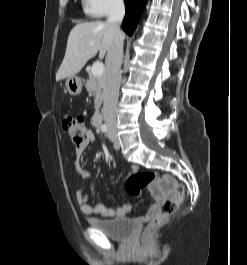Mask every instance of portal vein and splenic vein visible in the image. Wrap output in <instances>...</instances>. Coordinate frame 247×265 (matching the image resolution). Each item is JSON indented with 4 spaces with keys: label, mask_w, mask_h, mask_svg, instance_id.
<instances>
[{
    "label": "portal vein and splenic vein",
    "mask_w": 247,
    "mask_h": 265,
    "mask_svg": "<svg viewBox=\"0 0 247 265\" xmlns=\"http://www.w3.org/2000/svg\"><path fill=\"white\" fill-rule=\"evenodd\" d=\"M91 72L95 76H100L104 73V65L102 62H95L92 65Z\"/></svg>",
    "instance_id": "1"
}]
</instances>
